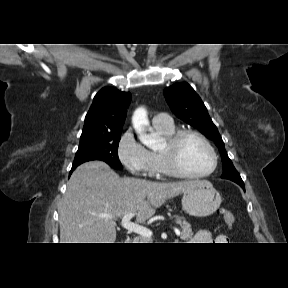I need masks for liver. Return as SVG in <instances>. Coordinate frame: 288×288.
Instances as JSON below:
<instances>
[{"label":"liver","instance_id":"liver-1","mask_svg":"<svg viewBox=\"0 0 288 288\" xmlns=\"http://www.w3.org/2000/svg\"><path fill=\"white\" fill-rule=\"evenodd\" d=\"M199 182L120 178L105 162L83 163L67 182L59 207L60 243H114L115 218L135 212L136 221L143 223L166 200Z\"/></svg>","mask_w":288,"mask_h":288}]
</instances>
